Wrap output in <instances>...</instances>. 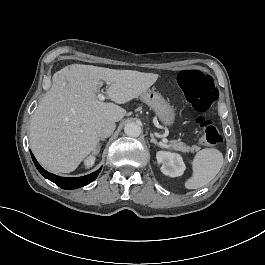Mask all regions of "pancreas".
<instances>
[{
    "instance_id": "1",
    "label": "pancreas",
    "mask_w": 265,
    "mask_h": 265,
    "mask_svg": "<svg viewBox=\"0 0 265 265\" xmlns=\"http://www.w3.org/2000/svg\"><path fill=\"white\" fill-rule=\"evenodd\" d=\"M169 146L174 150L182 152H197L200 150V147L197 145H193L190 147L183 142H179L178 140H171Z\"/></svg>"
}]
</instances>
